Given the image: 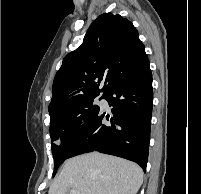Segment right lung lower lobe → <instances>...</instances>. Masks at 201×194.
Instances as JSON below:
<instances>
[{
	"label": "right lung lower lobe",
	"instance_id": "98d812e1",
	"mask_svg": "<svg viewBox=\"0 0 201 194\" xmlns=\"http://www.w3.org/2000/svg\"><path fill=\"white\" fill-rule=\"evenodd\" d=\"M103 99L112 106L111 124L105 123V113L99 110L91 120L82 124L61 143L58 155L66 160L98 151L134 161L145 171L153 102L148 57L106 91Z\"/></svg>",
	"mask_w": 201,
	"mask_h": 194
}]
</instances>
